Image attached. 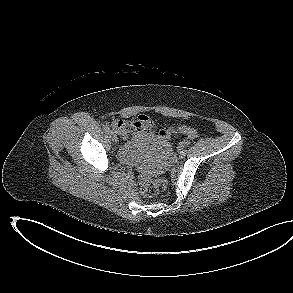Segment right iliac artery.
Returning a JSON list of instances; mask_svg holds the SVG:
<instances>
[{
    "label": "right iliac artery",
    "mask_w": 293,
    "mask_h": 293,
    "mask_svg": "<svg viewBox=\"0 0 293 293\" xmlns=\"http://www.w3.org/2000/svg\"><path fill=\"white\" fill-rule=\"evenodd\" d=\"M103 129L106 131V132H109L110 131V128L109 126L106 124V125H103Z\"/></svg>",
    "instance_id": "right-iliac-artery-1"
}]
</instances>
